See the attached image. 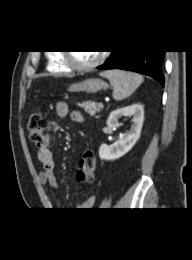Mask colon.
<instances>
[{
	"label": "colon",
	"mask_w": 192,
	"mask_h": 260,
	"mask_svg": "<svg viewBox=\"0 0 192 260\" xmlns=\"http://www.w3.org/2000/svg\"><path fill=\"white\" fill-rule=\"evenodd\" d=\"M46 118L42 111H34L28 118L27 131L28 136L39 146L45 137ZM95 157L92 152H86L80 162L77 170V180L79 182H90L95 175Z\"/></svg>",
	"instance_id": "colon-1"
}]
</instances>
